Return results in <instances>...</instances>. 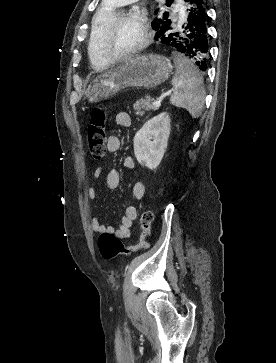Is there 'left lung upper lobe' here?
<instances>
[{
    "instance_id": "5c2ea615",
    "label": "left lung upper lobe",
    "mask_w": 276,
    "mask_h": 363,
    "mask_svg": "<svg viewBox=\"0 0 276 363\" xmlns=\"http://www.w3.org/2000/svg\"><path fill=\"white\" fill-rule=\"evenodd\" d=\"M187 1V0H185ZM172 3V0H167L166 1V4L167 5H170ZM155 13H157V11H155ZM173 21H171L170 19H168V14H166V12L164 13V16L162 18H160L158 20V22H153L152 25H153V29L154 30H160L161 28H163L164 26H170V24L172 23Z\"/></svg>"
}]
</instances>
